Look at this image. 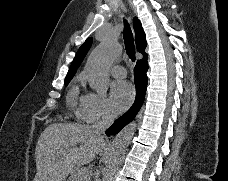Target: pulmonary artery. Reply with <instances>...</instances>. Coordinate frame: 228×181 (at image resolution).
Segmentation results:
<instances>
[{
    "label": "pulmonary artery",
    "instance_id": "pulmonary-artery-1",
    "mask_svg": "<svg viewBox=\"0 0 228 181\" xmlns=\"http://www.w3.org/2000/svg\"><path fill=\"white\" fill-rule=\"evenodd\" d=\"M116 41V40H110ZM114 74L117 76L118 79H127L128 75L125 74V69L123 67L117 66L113 69Z\"/></svg>",
    "mask_w": 228,
    "mask_h": 181
}]
</instances>
